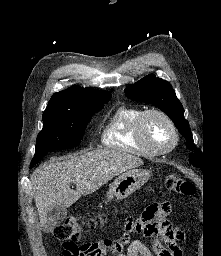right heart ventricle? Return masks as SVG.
<instances>
[{"label":"right heart ventricle","instance_id":"e07e8e85","mask_svg":"<svg viewBox=\"0 0 221 256\" xmlns=\"http://www.w3.org/2000/svg\"><path fill=\"white\" fill-rule=\"evenodd\" d=\"M141 108L121 106L106 121L102 131V143L109 148L127 151L140 156H152L136 138V125Z\"/></svg>","mask_w":221,"mask_h":256}]
</instances>
